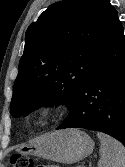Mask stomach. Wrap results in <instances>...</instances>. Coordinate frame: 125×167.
Listing matches in <instances>:
<instances>
[{"instance_id":"obj_1","label":"stomach","mask_w":125,"mask_h":167,"mask_svg":"<svg viewBox=\"0 0 125 167\" xmlns=\"http://www.w3.org/2000/svg\"><path fill=\"white\" fill-rule=\"evenodd\" d=\"M94 141L78 129H65L37 137L20 148L23 154L42 157L55 162L72 164L93 152Z\"/></svg>"}]
</instances>
